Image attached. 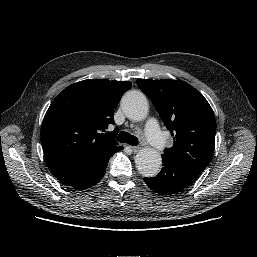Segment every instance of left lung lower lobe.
Returning a JSON list of instances; mask_svg holds the SVG:
<instances>
[{"mask_svg":"<svg viewBox=\"0 0 257 257\" xmlns=\"http://www.w3.org/2000/svg\"><path fill=\"white\" fill-rule=\"evenodd\" d=\"M162 162L163 167L156 177L144 178L146 184L161 195H171L184 190L201 174L186 164L163 155Z\"/></svg>","mask_w":257,"mask_h":257,"instance_id":"1","label":"left lung lower lobe"}]
</instances>
